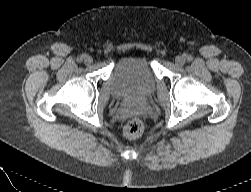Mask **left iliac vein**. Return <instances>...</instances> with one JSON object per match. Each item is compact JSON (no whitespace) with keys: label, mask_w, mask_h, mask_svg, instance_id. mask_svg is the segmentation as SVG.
Wrapping results in <instances>:
<instances>
[{"label":"left iliac vein","mask_w":251,"mask_h":192,"mask_svg":"<svg viewBox=\"0 0 251 192\" xmlns=\"http://www.w3.org/2000/svg\"><path fill=\"white\" fill-rule=\"evenodd\" d=\"M186 59L183 56H177L175 58V63L178 66H183L185 64Z\"/></svg>","instance_id":"left-iliac-vein-1"}]
</instances>
